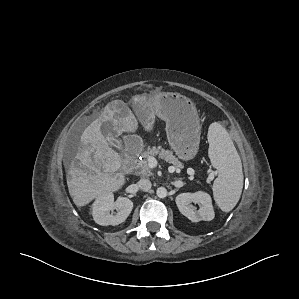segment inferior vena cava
Returning a JSON list of instances; mask_svg holds the SVG:
<instances>
[{"label":"inferior vena cava","mask_w":299,"mask_h":299,"mask_svg":"<svg viewBox=\"0 0 299 299\" xmlns=\"http://www.w3.org/2000/svg\"><path fill=\"white\" fill-rule=\"evenodd\" d=\"M137 186L141 191H149L152 187V184L149 179L142 178L137 182Z\"/></svg>","instance_id":"602c4592"}]
</instances>
